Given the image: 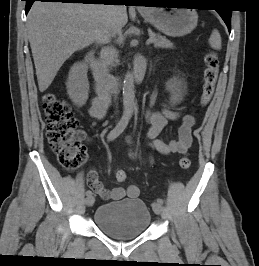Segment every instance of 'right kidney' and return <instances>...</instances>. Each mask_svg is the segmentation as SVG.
<instances>
[{
	"label": "right kidney",
	"instance_id": "ca27d5eb",
	"mask_svg": "<svg viewBox=\"0 0 259 266\" xmlns=\"http://www.w3.org/2000/svg\"><path fill=\"white\" fill-rule=\"evenodd\" d=\"M87 70L88 68L84 63H75L70 69L66 82L67 93L72 102L78 107L85 105L88 99L89 82Z\"/></svg>",
	"mask_w": 259,
	"mask_h": 266
}]
</instances>
